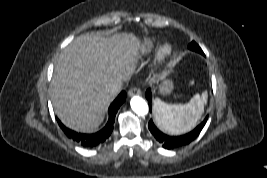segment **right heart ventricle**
I'll use <instances>...</instances> for the list:
<instances>
[{
	"label": "right heart ventricle",
	"instance_id": "1",
	"mask_svg": "<svg viewBox=\"0 0 267 178\" xmlns=\"http://www.w3.org/2000/svg\"><path fill=\"white\" fill-rule=\"evenodd\" d=\"M155 44L156 42L152 39L146 40L141 47L142 53L145 54V53L150 52L154 48Z\"/></svg>",
	"mask_w": 267,
	"mask_h": 178
}]
</instances>
